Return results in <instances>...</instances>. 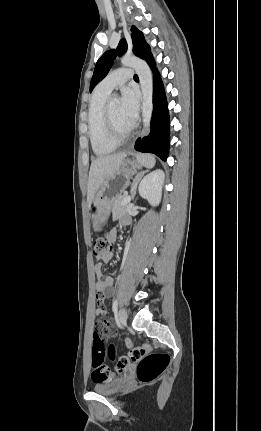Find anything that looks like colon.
Here are the masks:
<instances>
[{
    "label": "colon",
    "instance_id": "colon-1",
    "mask_svg": "<svg viewBox=\"0 0 261 431\" xmlns=\"http://www.w3.org/2000/svg\"><path fill=\"white\" fill-rule=\"evenodd\" d=\"M110 252V244L103 238H97L93 243V253L96 258H102ZM149 347H132L127 356H123L115 362L113 370L108 364H105V349L101 337L94 334V343L92 348V375L91 382L95 385L101 383L119 382L120 373H125L126 366L130 362H137V377L142 383L155 381L166 369L170 358L164 353H148ZM109 358L114 360L116 349L110 345L108 349Z\"/></svg>",
    "mask_w": 261,
    "mask_h": 431
}]
</instances>
